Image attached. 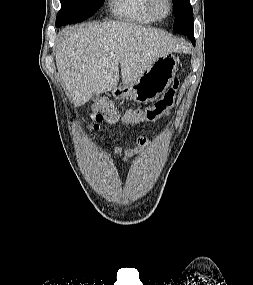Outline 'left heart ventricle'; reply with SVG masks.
Segmentation results:
<instances>
[{"instance_id":"1","label":"left heart ventricle","mask_w":253,"mask_h":285,"mask_svg":"<svg viewBox=\"0 0 253 285\" xmlns=\"http://www.w3.org/2000/svg\"><path fill=\"white\" fill-rule=\"evenodd\" d=\"M155 10L158 15H165L168 10V5L165 0H156L155 2Z\"/></svg>"}]
</instances>
